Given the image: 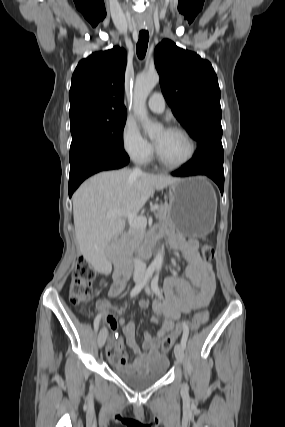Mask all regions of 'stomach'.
Segmentation results:
<instances>
[{
  "mask_svg": "<svg viewBox=\"0 0 285 427\" xmlns=\"http://www.w3.org/2000/svg\"><path fill=\"white\" fill-rule=\"evenodd\" d=\"M217 198L202 176L179 179L169 186L168 220L186 237H204L215 225Z\"/></svg>",
  "mask_w": 285,
  "mask_h": 427,
  "instance_id": "0dacf381",
  "label": "stomach"
}]
</instances>
